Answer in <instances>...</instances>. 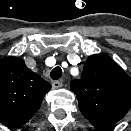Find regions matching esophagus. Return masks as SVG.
<instances>
[{
    "mask_svg": "<svg viewBox=\"0 0 131 131\" xmlns=\"http://www.w3.org/2000/svg\"><path fill=\"white\" fill-rule=\"evenodd\" d=\"M63 86V83L61 81H54L52 83V88L53 89H58V88H61Z\"/></svg>",
    "mask_w": 131,
    "mask_h": 131,
    "instance_id": "34e87169",
    "label": "esophagus"
}]
</instances>
